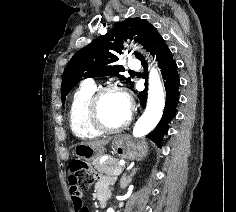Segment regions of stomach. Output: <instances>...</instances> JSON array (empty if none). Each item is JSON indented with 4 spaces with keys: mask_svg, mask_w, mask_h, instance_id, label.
<instances>
[{
    "mask_svg": "<svg viewBox=\"0 0 236 212\" xmlns=\"http://www.w3.org/2000/svg\"><path fill=\"white\" fill-rule=\"evenodd\" d=\"M112 147L115 153L123 158H142L147 153L145 141H132L128 136L117 135L112 138ZM104 147L93 148L85 144H78L73 150V155L87 162L99 159L104 155Z\"/></svg>",
    "mask_w": 236,
    "mask_h": 212,
    "instance_id": "stomach-1",
    "label": "stomach"
}]
</instances>
